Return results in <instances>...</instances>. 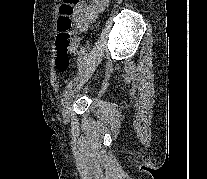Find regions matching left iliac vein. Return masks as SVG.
Returning <instances> with one entry per match:
<instances>
[{"mask_svg":"<svg viewBox=\"0 0 207 179\" xmlns=\"http://www.w3.org/2000/svg\"><path fill=\"white\" fill-rule=\"evenodd\" d=\"M74 94H75V90H71L69 94L66 96L64 102L62 103L61 112H62L63 119L65 121H67L70 117L69 109H70L71 100L74 97Z\"/></svg>","mask_w":207,"mask_h":179,"instance_id":"4c4485c4","label":"left iliac vein"}]
</instances>
